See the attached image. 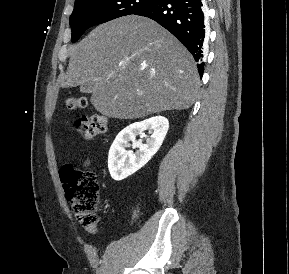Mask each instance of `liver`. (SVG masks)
Returning a JSON list of instances; mask_svg holds the SVG:
<instances>
[{
  "label": "liver",
  "instance_id": "liver-1",
  "mask_svg": "<svg viewBox=\"0 0 289 274\" xmlns=\"http://www.w3.org/2000/svg\"><path fill=\"white\" fill-rule=\"evenodd\" d=\"M69 53L60 86L92 83L90 101L109 118L184 110L198 96L200 78L192 55L151 19L129 15L101 24Z\"/></svg>",
  "mask_w": 289,
  "mask_h": 274
}]
</instances>
